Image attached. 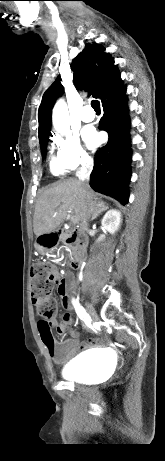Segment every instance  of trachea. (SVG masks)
<instances>
[{"mask_svg":"<svg viewBox=\"0 0 165 461\" xmlns=\"http://www.w3.org/2000/svg\"><path fill=\"white\" fill-rule=\"evenodd\" d=\"M91 106L95 110V112H100V103L98 100H93L91 102Z\"/></svg>","mask_w":165,"mask_h":461,"instance_id":"3493384b","label":"trachea"}]
</instances>
